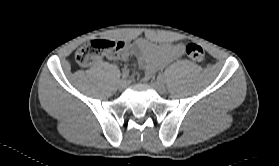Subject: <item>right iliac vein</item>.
Wrapping results in <instances>:
<instances>
[{
    "mask_svg": "<svg viewBox=\"0 0 279 166\" xmlns=\"http://www.w3.org/2000/svg\"><path fill=\"white\" fill-rule=\"evenodd\" d=\"M128 85V81L126 79H121L119 82H118V89L119 90H124Z\"/></svg>",
    "mask_w": 279,
    "mask_h": 166,
    "instance_id": "1",
    "label": "right iliac vein"
}]
</instances>
